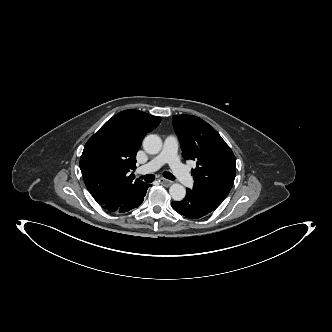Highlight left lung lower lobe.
Segmentation results:
<instances>
[{"mask_svg": "<svg viewBox=\"0 0 332 332\" xmlns=\"http://www.w3.org/2000/svg\"><path fill=\"white\" fill-rule=\"evenodd\" d=\"M171 206L179 214L191 219L201 218L218 207L189 189L182 201H173Z\"/></svg>", "mask_w": 332, "mask_h": 332, "instance_id": "1", "label": "left lung lower lobe"}]
</instances>
